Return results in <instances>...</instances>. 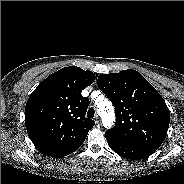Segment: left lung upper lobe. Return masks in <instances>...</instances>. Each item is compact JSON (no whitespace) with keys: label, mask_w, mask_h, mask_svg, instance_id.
I'll return each instance as SVG.
<instances>
[{"label":"left lung upper lobe","mask_w":184,"mask_h":184,"mask_svg":"<svg viewBox=\"0 0 184 184\" xmlns=\"http://www.w3.org/2000/svg\"><path fill=\"white\" fill-rule=\"evenodd\" d=\"M97 84L115 107V126L106 132L154 153L164 141L170 121L158 91L133 69L101 74Z\"/></svg>","instance_id":"obj_1"}]
</instances>
